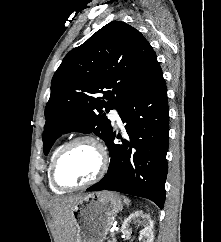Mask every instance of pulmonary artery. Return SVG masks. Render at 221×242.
I'll use <instances>...</instances> for the list:
<instances>
[{
	"label": "pulmonary artery",
	"instance_id": "1",
	"mask_svg": "<svg viewBox=\"0 0 221 242\" xmlns=\"http://www.w3.org/2000/svg\"><path fill=\"white\" fill-rule=\"evenodd\" d=\"M110 118H111L112 120H116V121H118V122L121 121V120H120L119 113H118V111H117L116 109L111 110V112H110Z\"/></svg>",
	"mask_w": 221,
	"mask_h": 242
}]
</instances>
